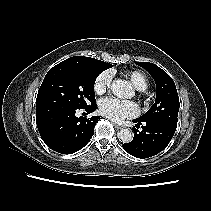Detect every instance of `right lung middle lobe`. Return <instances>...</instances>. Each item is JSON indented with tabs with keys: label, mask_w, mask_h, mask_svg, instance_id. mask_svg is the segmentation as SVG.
I'll return each mask as SVG.
<instances>
[{
	"label": "right lung middle lobe",
	"mask_w": 211,
	"mask_h": 211,
	"mask_svg": "<svg viewBox=\"0 0 211 211\" xmlns=\"http://www.w3.org/2000/svg\"><path fill=\"white\" fill-rule=\"evenodd\" d=\"M112 65L97 59H67L46 74L38 91L36 108L57 106L84 109L96 104L94 83Z\"/></svg>",
	"instance_id": "dd1d6c3e"
}]
</instances>
